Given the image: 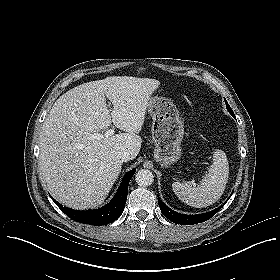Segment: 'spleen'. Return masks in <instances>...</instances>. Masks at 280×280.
I'll return each mask as SVG.
<instances>
[{"label":"spleen","mask_w":280,"mask_h":280,"mask_svg":"<svg viewBox=\"0 0 280 280\" xmlns=\"http://www.w3.org/2000/svg\"><path fill=\"white\" fill-rule=\"evenodd\" d=\"M229 177L227 157L222 150L213 152V163L199 184L174 182L177 197L193 207H207L220 199Z\"/></svg>","instance_id":"3e777b00"}]
</instances>
